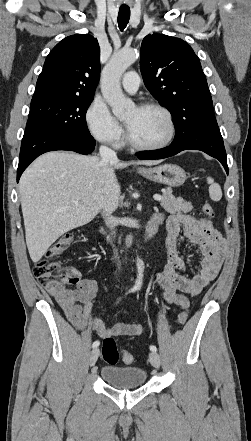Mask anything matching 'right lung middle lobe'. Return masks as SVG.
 <instances>
[{
	"instance_id": "1",
	"label": "right lung middle lobe",
	"mask_w": 251,
	"mask_h": 441,
	"mask_svg": "<svg viewBox=\"0 0 251 441\" xmlns=\"http://www.w3.org/2000/svg\"><path fill=\"white\" fill-rule=\"evenodd\" d=\"M93 97H51L31 101L27 124L36 123L76 136H90L85 115Z\"/></svg>"
}]
</instances>
